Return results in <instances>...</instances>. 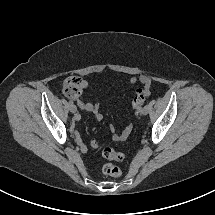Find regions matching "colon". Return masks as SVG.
Returning <instances> with one entry per match:
<instances>
[{"label": "colon", "instance_id": "5ec220e1", "mask_svg": "<svg viewBox=\"0 0 215 215\" xmlns=\"http://www.w3.org/2000/svg\"><path fill=\"white\" fill-rule=\"evenodd\" d=\"M82 90L83 80L78 76H69L63 82V92L67 97L71 99L77 98L82 93ZM149 94L150 91L149 87L147 86H143L136 91V94L132 100V107L137 115L139 114L140 109ZM91 145L94 148L100 149L102 156L107 160L121 161L126 157V154L122 151H116L110 147L103 148L94 139L91 141ZM101 170L105 175L111 177H119L121 175V170L111 163L102 164Z\"/></svg>", "mask_w": 215, "mask_h": 215}]
</instances>
